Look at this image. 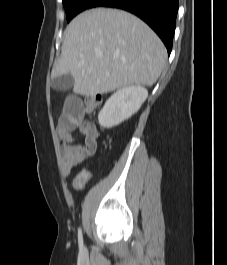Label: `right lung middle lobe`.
Listing matches in <instances>:
<instances>
[{
	"label": "right lung middle lobe",
	"instance_id": "right-lung-middle-lobe-1",
	"mask_svg": "<svg viewBox=\"0 0 227 265\" xmlns=\"http://www.w3.org/2000/svg\"><path fill=\"white\" fill-rule=\"evenodd\" d=\"M94 0H63V5L69 22L74 16L87 9Z\"/></svg>",
	"mask_w": 227,
	"mask_h": 265
}]
</instances>
